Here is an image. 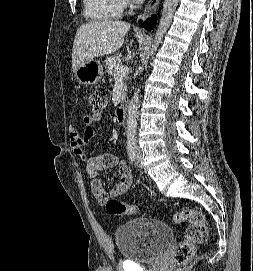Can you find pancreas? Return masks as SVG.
Masks as SVG:
<instances>
[{
  "label": "pancreas",
  "mask_w": 253,
  "mask_h": 271,
  "mask_svg": "<svg viewBox=\"0 0 253 271\" xmlns=\"http://www.w3.org/2000/svg\"><path fill=\"white\" fill-rule=\"evenodd\" d=\"M106 72L113 76H117V68L123 66L121 60V54L113 55L104 61ZM126 95V85H124L123 93H122V100L125 99Z\"/></svg>",
  "instance_id": "obj_1"
}]
</instances>
